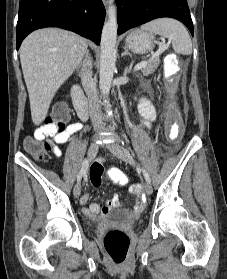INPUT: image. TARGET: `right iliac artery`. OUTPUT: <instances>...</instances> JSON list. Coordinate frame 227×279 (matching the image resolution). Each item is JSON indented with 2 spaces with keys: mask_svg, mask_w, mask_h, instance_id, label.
I'll list each match as a JSON object with an SVG mask.
<instances>
[{
  "mask_svg": "<svg viewBox=\"0 0 227 279\" xmlns=\"http://www.w3.org/2000/svg\"><path fill=\"white\" fill-rule=\"evenodd\" d=\"M88 166H89V162H88L87 159H85L84 162H83L82 168L77 175V182L78 183L81 181L82 177L87 173Z\"/></svg>",
  "mask_w": 227,
  "mask_h": 279,
  "instance_id": "82829eb1",
  "label": "right iliac artery"
}]
</instances>
